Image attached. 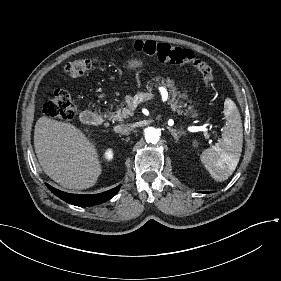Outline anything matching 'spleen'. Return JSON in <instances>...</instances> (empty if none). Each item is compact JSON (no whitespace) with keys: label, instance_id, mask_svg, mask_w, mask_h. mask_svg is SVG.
I'll use <instances>...</instances> for the list:
<instances>
[{"label":"spleen","instance_id":"obj_1","mask_svg":"<svg viewBox=\"0 0 281 281\" xmlns=\"http://www.w3.org/2000/svg\"><path fill=\"white\" fill-rule=\"evenodd\" d=\"M222 139L200 154V163L215 182L227 180L235 171L242 152L243 127L238 108L231 99L224 102Z\"/></svg>","mask_w":281,"mask_h":281}]
</instances>
